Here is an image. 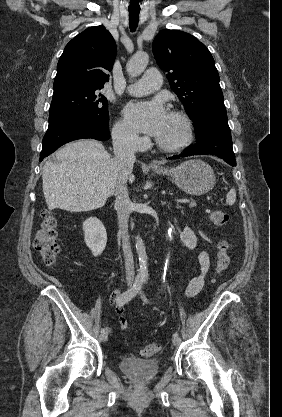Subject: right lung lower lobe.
Returning <instances> with one entry per match:
<instances>
[{"label":"right lung lower lobe","instance_id":"1","mask_svg":"<svg viewBox=\"0 0 282 417\" xmlns=\"http://www.w3.org/2000/svg\"><path fill=\"white\" fill-rule=\"evenodd\" d=\"M109 120L97 121L84 114H72L49 122L48 130L43 138L41 162L49 154L57 150L61 145L83 138H93L100 141L110 137Z\"/></svg>","mask_w":282,"mask_h":417}]
</instances>
